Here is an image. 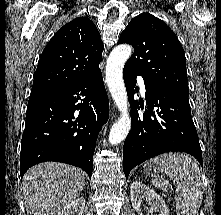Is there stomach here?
Returning <instances> with one entry per match:
<instances>
[{
  "instance_id": "obj_1",
  "label": "stomach",
  "mask_w": 221,
  "mask_h": 215,
  "mask_svg": "<svg viewBox=\"0 0 221 215\" xmlns=\"http://www.w3.org/2000/svg\"><path fill=\"white\" fill-rule=\"evenodd\" d=\"M144 167L146 168V174L148 176H152L154 177L155 174H158L161 172L160 168V164H151V161L150 162H147Z\"/></svg>"
}]
</instances>
